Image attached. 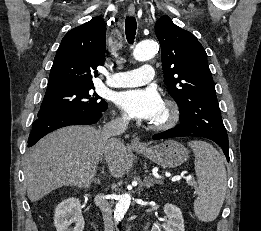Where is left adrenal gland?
Here are the masks:
<instances>
[{"label": "left adrenal gland", "instance_id": "obj_1", "mask_svg": "<svg viewBox=\"0 0 261 231\" xmlns=\"http://www.w3.org/2000/svg\"><path fill=\"white\" fill-rule=\"evenodd\" d=\"M154 184H161V181L154 179L150 175H148L144 180V186L146 188H151L152 186H154Z\"/></svg>", "mask_w": 261, "mask_h": 231}]
</instances>
